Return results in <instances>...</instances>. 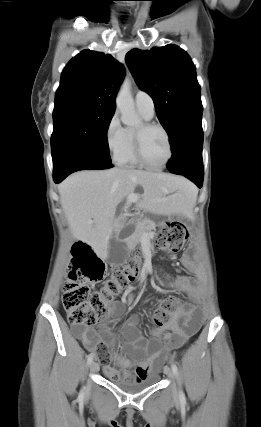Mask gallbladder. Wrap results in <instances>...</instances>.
Segmentation results:
<instances>
[{
	"instance_id": "bac80fb5",
	"label": "gallbladder",
	"mask_w": 261,
	"mask_h": 427,
	"mask_svg": "<svg viewBox=\"0 0 261 427\" xmlns=\"http://www.w3.org/2000/svg\"><path fill=\"white\" fill-rule=\"evenodd\" d=\"M127 257V248L113 235L108 243L107 262L112 265H121Z\"/></svg>"
}]
</instances>
